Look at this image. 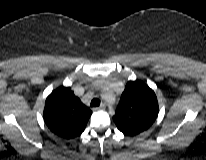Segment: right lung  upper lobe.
<instances>
[{
	"instance_id": "1",
	"label": "right lung upper lobe",
	"mask_w": 206,
	"mask_h": 160,
	"mask_svg": "<svg viewBox=\"0 0 206 160\" xmlns=\"http://www.w3.org/2000/svg\"><path fill=\"white\" fill-rule=\"evenodd\" d=\"M92 111L74 95L70 87H59L47 97L43 118L56 135L72 139L86 127Z\"/></svg>"
}]
</instances>
